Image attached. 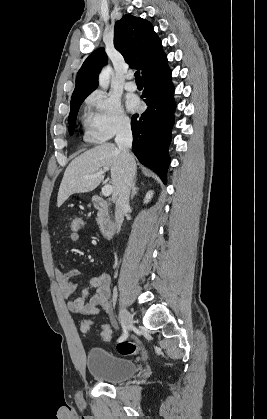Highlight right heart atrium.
<instances>
[{"label": "right heart atrium", "instance_id": "right-heart-atrium-1", "mask_svg": "<svg viewBox=\"0 0 267 419\" xmlns=\"http://www.w3.org/2000/svg\"><path fill=\"white\" fill-rule=\"evenodd\" d=\"M91 111L88 126L89 137L104 142L130 126V119L120 101L104 91H94L86 99Z\"/></svg>", "mask_w": 267, "mask_h": 419}]
</instances>
